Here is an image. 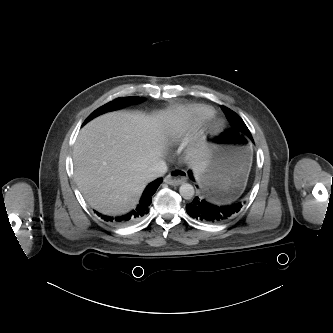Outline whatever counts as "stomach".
<instances>
[{
  "label": "stomach",
  "mask_w": 333,
  "mask_h": 333,
  "mask_svg": "<svg viewBox=\"0 0 333 333\" xmlns=\"http://www.w3.org/2000/svg\"><path fill=\"white\" fill-rule=\"evenodd\" d=\"M252 156L251 147L242 137L225 131L211 140L204 168L196 176L197 182L217 203L236 199L246 186Z\"/></svg>",
  "instance_id": "0dacf381"
}]
</instances>
